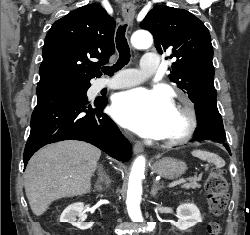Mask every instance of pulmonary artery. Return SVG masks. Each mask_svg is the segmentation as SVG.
Returning <instances> with one entry per match:
<instances>
[{"label":"pulmonary artery","mask_w":250,"mask_h":235,"mask_svg":"<svg viewBox=\"0 0 250 235\" xmlns=\"http://www.w3.org/2000/svg\"><path fill=\"white\" fill-rule=\"evenodd\" d=\"M159 59L155 53L144 54L139 69L128 70L124 74H120L113 79L107 81H99L98 88H125L143 81L147 74L154 72L159 67Z\"/></svg>","instance_id":"1"}]
</instances>
